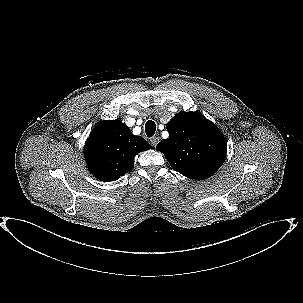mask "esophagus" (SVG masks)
Segmentation results:
<instances>
[{"mask_svg":"<svg viewBox=\"0 0 303 303\" xmlns=\"http://www.w3.org/2000/svg\"><path fill=\"white\" fill-rule=\"evenodd\" d=\"M158 142H159V137H152V138L150 139V143H151V145H152L153 147H156V145L158 144Z\"/></svg>","mask_w":303,"mask_h":303,"instance_id":"1","label":"esophagus"}]
</instances>
